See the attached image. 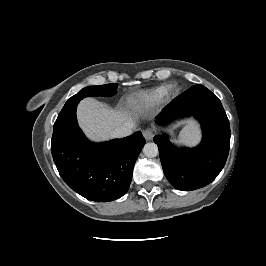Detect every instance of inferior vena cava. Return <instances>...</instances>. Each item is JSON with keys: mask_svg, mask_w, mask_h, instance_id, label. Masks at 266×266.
<instances>
[{"mask_svg": "<svg viewBox=\"0 0 266 266\" xmlns=\"http://www.w3.org/2000/svg\"><path fill=\"white\" fill-rule=\"evenodd\" d=\"M134 124L127 122L124 123L122 126L117 127L114 131L113 134L116 137H126L132 134Z\"/></svg>", "mask_w": 266, "mask_h": 266, "instance_id": "obj_1", "label": "inferior vena cava"}]
</instances>
